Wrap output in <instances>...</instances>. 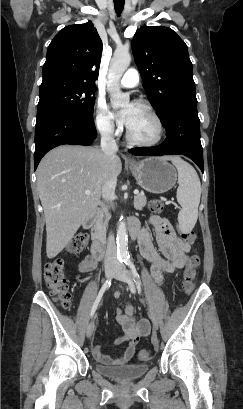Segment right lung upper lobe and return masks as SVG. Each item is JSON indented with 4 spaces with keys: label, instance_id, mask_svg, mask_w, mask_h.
Wrapping results in <instances>:
<instances>
[{
    "label": "right lung upper lobe",
    "instance_id": "1",
    "mask_svg": "<svg viewBox=\"0 0 243 409\" xmlns=\"http://www.w3.org/2000/svg\"><path fill=\"white\" fill-rule=\"evenodd\" d=\"M102 41L91 22L69 25L52 40L43 65V80L68 79L95 87Z\"/></svg>",
    "mask_w": 243,
    "mask_h": 409
}]
</instances>
